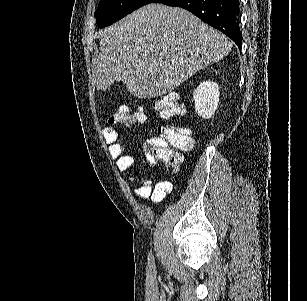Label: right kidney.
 I'll return each mask as SVG.
<instances>
[{
    "label": "right kidney",
    "instance_id": "right-kidney-1",
    "mask_svg": "<svg viewBox=\"0 0 307 301\" xmlns=\"http://www.w3.org/2000/svg\"><path fill=\"white\" fill-rule=\"evenodd\" d=\"M194 108L201 118H212L219 104V84L214 80H202L193 92Z\"/></svg>",
    "mask_w": 307,
    "mask_h": 301
}]
</instances>
